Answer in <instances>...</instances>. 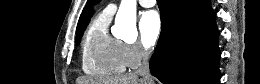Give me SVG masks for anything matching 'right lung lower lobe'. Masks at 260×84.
<instances>
[{
	"mask_svg": "<svg viewBox=\"0 0 260 84\" xmlns=\"http://www.w3.org/2000/svg\"><path fill=\"white\" fill-rule=\"evenodd\" d=\"M157 2L161 33L150 59L152 75L163 84H218L219 32L210 0Z\"/></svg>",
	"mask_w": 260,
	"mask_h": 84,
	"instance_id": "right-lung-lower-lobe-1",
	"label": "right lung lower lobe"
}]
</instances>
